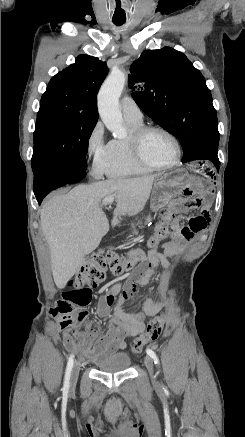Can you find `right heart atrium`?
<instances>
[{"label":"right heart atrium","mask_w":245,"mask_h":437,"mask_svg":"<svg viewBox=\"0 0 245 437\" xmlns=\"http://www.w3.org/2000/svg\"><path fill=\"white\" fill-rule=\"evenodd\" d=\"M108 146L109 142H106L104 126L101 122H97L90 131L86 142V156L95 176H100L104 172Z\"/></svg>","instance_id":"right-heart-atrium-1"}]
</instances>
